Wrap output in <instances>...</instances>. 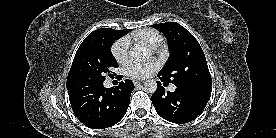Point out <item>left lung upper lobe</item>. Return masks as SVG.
<instances>
[{"instance_id":"obj_1","label":"left lung upper lobe","mask_w":276,"mask_h":138,"mask_svg":"<svg viewBox=\"0 0 276 138\" xmlns=\"http://www.w3.org/2000/svg\"><path fill=\"white\" fill-rule=\"evenodd\" d=\"M168 40L170 56L159 72L166 82L176 86L212 88L205 55L196 38L176 22L153 25Z\"/></svg>"}]
</instances>
